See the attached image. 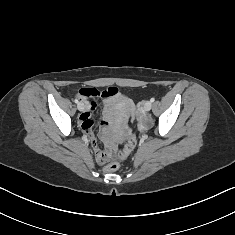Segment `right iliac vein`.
Wrapping results in <instances>:
<instances>
[{
    "label": "right iliac vein",
    "instance_id": "obj_1",
    "mask_svg": "<svg viewBox=\"0 0 235 235\" xmlns=\"http://www.w3.org/2000/svg\"><path fill=\"white\" fill-rule=\"evenodd\" d=\"M77 108L79 111H83L84 110V104L82 102L78 103Z\"/></svg>",
    "mask_w": 235,
    "mask_h": 235
}]
</instances>
